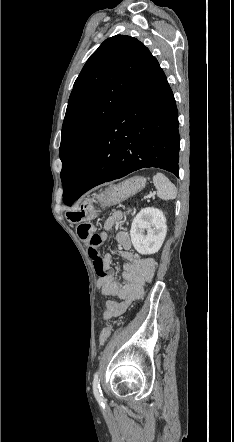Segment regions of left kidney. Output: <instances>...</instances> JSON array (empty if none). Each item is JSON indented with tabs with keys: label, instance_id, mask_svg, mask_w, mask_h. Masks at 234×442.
Segmentation results:
<instances>
[{
	"label": "left kidney",
	"instance_id": "5707ae66",
	"mask_svg": "<svg viewBox=\"0 0 234 442\" xmlns=\"http://www.w3.org/2000/svg\"><path fill=\"white\" fill-rule=\"evenodd\" d=\"M144 230L147 234L144 235ZM167 233L166 218L163 212L156 208H144L134 218L130 236L135 250L142 255L158 252Z\"/></svg>",
	"mask_w": 234,
	"mask_h": 442
}]
</instances>
